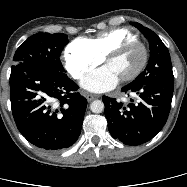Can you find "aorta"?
I'll list each match as a JSON object with an SVG mask.
<instances>
[{"label":"aorta","instance_id":"obj_1","mask_svg":"<svg viewBox=\"0 0 187 187\" xmlns=\"http://www.w3.org/2000/svg\"><path fill=\"white\" fill-rule=\"evenodd\" d=\"M104 103L101 100H94L90 104V109L93 113H101L104 111Z\"/></svg>","mask_w":187,"mask_h":187}]
</instances>
